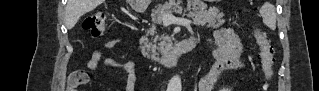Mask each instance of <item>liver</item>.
<instances>
[{
	"label": "liver",
	"mask_w": 319,
	"mask_h": 91,
	"mask_svg": "<svg viewBox=\"0 0 319 91\" xmlns=\"http://www.w3.org/2000/svg\"><path fill=\"white\" fill-rule=\"evenodd\" d=\"M103 0H69L67 4V25L73 28L79 18L94 10Z\"/></svg>",
	"instance_id": "1"
}]
</instances>
